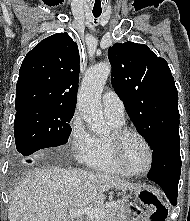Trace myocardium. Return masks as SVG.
<instances>
[{
  "label": "myocardium",
  "instance_id": "myocardium-1",
  "mask_svg": "<svg viewBox=\"0 0 190 221\" xmlns=\"http://www.w3.org/2000/svg\"><path fill=\"white\" fill-rule=\"evenodd\" d=\"M130 135L138 137L144 143L148 151V155H149L148 165L145 170L140 171V172L131 170L125 164L124 159H123V153H122L123 142L126 139V137ZM109 141H110L111 150H112L116 163L128 175L143 176L151 170L153 162H154L153 148L150 142L148 141V139L141 132H139L136 129L123 127L119 130L113 131L109 136Z\"/></svg>",
  "mask_w": 190,
  "mask_h": 221
}]
</instances>
